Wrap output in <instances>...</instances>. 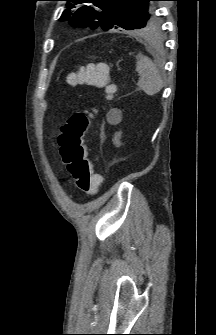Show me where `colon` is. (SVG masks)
I'll return each instance as SVG.
<instances>
[{"instance_id":"obj_1","label":"colon","mask_w":216,"mask_h":335,"mask_svg":"<svg viewBox=\"0 0 216 335\" xmlns=\"http://www.w3.org/2000/svg\"><path fill=\"white\" fill-rule=\"evenodd\" d=\"M69 82L102 88L108 97H112L117 90V84L111 81L109 66L105 63L76 67L69 76ZM95 112V109H91L74 113L62 126L57 138L59 153L67 171L77 187L89 194L97 193L103 181L100 175L94 173L84 144L90 119Z\"/></svg>"}]
</instances>
